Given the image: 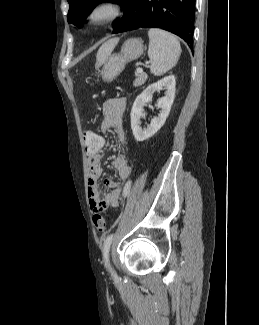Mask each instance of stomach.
I'll return each mask as SVG.
<instances>
[{
  "label": "stomach",
  "instance_id": "obj_1",
  "mask_svg": "<svg viewBox=\"0 0 259 325\" xmlns=\"http://www.w3.org/2000/svg\"><path fill=\"white\" fill-rule=\"evenodd\" d=\"M144 51L143 42L137 38L127 39L119 53L112 54L105 61L101 76L105 82H112L125 68L126 64L138 59Z\"/></svg>",
  "mask_w": 259,
  "mask_h": 325
}]
</instances>
